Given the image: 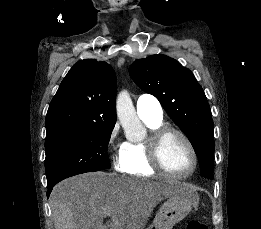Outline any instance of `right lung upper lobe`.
<instances>
[{"label": "right lung upper lobe", "instance_id": "cb5924a9", "mask_svg": "<svg viewBox=\"0 0 261 229\" xmlns=\"http://www.w3.org/2000/svg\"><path fill=\"white\" fill-rule=\"evenodd\" d=\"M116 89V75L109 64L95 59L77 62L49 105L45 147L96 125H115Z\"/></svg>", "mask_w": 261, "mask_h": 229}]
</instances>
